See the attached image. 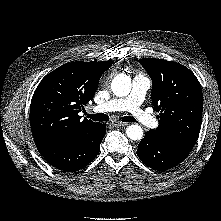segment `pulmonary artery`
I'll list each match as a JSON object with an SVG mask.
<instances>
[{
  "label": "pulmonary artery",
  "mask_w": 221,
  "mask_h": 221,
  "mask_svg": "<svg viewBox=\"0 0 221 221\" xmlns=\"http://www.w3.org/2000/svg\"><path fill=\"white\" fill-rule=\"evenodd\" d=\"M149 88L150 80L144 75H136L133 79L132 90L127 97L112 99L103 104H99L94 107V111H128L135 120L142 125L149 128H156L158 121L141 107Z\"/></svg>",
  "instance_id": "obj_1"
}]
</instances>
